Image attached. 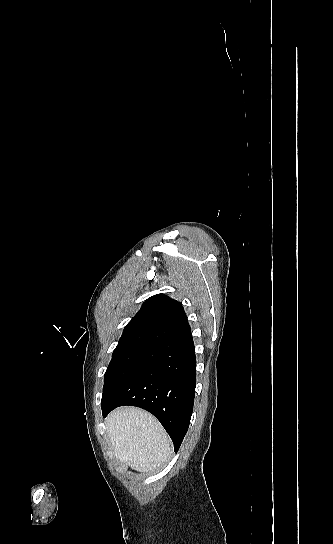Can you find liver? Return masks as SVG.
<instances>
[{
	"instance_id": "liver-1",
	"label": "liver",
	"mask_w": 333,
	"mask_h": 544,
	"mask_svg": "<svg viewBox=\"0 0 333 544\" xmlns=\"http://www.w3.org/2000/svg\"><path fill=\"white\" fill-rule=\"evenodd\" d=\"M106 427L116 458L137 471H148L167 462L171 441L151 414L138 408L114 410Z\"/></svg>"
}]
</instances>
